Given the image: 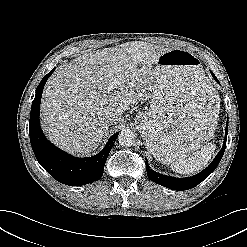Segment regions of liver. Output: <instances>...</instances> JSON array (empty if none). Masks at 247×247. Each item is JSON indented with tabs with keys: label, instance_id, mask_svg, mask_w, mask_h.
<instances>
[{
	"label": "liver",
	"instance_id": "6515ba94",
	"mask_svg": "<svg viewBox=\"0 0 247 247\" xmlns=\"http://www.w3.org/2000/svg\"><path fill=\"white\" fill-rule=\"evenodd\" d=\"M169 50L127 42L61 65L47 81L41 101L48 138L71 154L90 155L107 134L110 114L121 118L137 102L151 98L160 82L154 65Z\"/></svg>",
	"mask_w": 247,
	"mask_h": 247
}]
</instances>
